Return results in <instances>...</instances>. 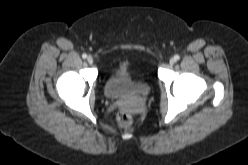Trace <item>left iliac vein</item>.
I'll return each instance as SVG.
<instances>
[{
	"mask_svg": "<svg viewBox=\"0 0 248 165\" xmlns=\"http://www.w3.org/2000/svg\"><path fill=\"white\" fill-rule=\"evenodd\" d=\"M175 62H176V60L174 58H171L169 61L170 65H173Z\"/></svg>",
	"mask_w": 248,
	"mask_h": 165,
	"instance_id": "1",
	"label": "left iliac vein"
}]
</instances>
